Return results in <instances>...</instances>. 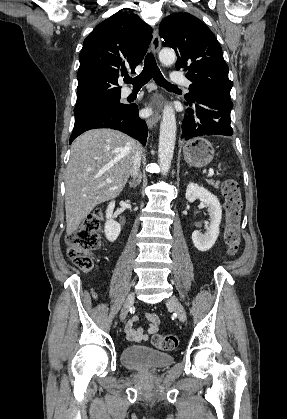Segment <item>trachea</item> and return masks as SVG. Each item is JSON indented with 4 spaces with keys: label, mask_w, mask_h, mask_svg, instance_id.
<instances>
[{
    "label": "trachea",
    "mask_w": 287,
    "mask_h": 419,
    "mask_svg": "<svg viewBox=\"0 0 287 419\" xmlns=\"http://www.w3.org/2000/svg\"><path fill=\"white\" fill-rule=\"evenodd\" d=\"M153 77L155 82L160 86L174 87L163 77L159 70L155 58L152 53H148L145 57L144 68L142 72L135 78L127 77L124 79L125 83L132 84L134 88H141Z\"/></svg>",
    "instance_id": "3493384b"
}]
</instances>
